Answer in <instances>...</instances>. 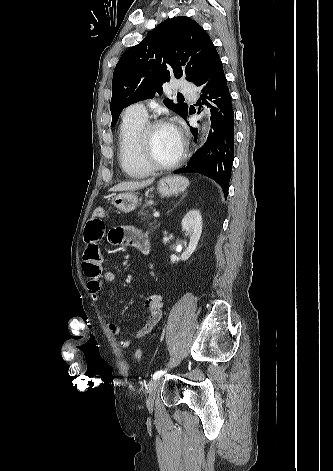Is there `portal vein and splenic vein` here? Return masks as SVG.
I'll return each instance as SVG.
<instances>
[{"mask_svg":"<svg viewBox=\"0 0 333 471\" xmlns=\"http://www.w3.org/2000/svg\"><path fill=\"white\" fill-rule=\"evenodd\" d=\"M153 216H154L155 218H158V217L160 216V214H159V212H154V213H153Z\"/></svg>","mask_w":333,"mask_h":471,"instance_id":"1","label":"portal vein and splenic vein"}]
</instances>
